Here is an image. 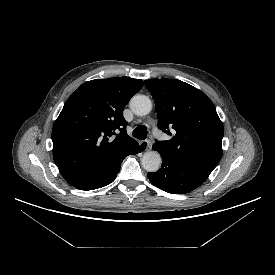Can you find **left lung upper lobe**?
<instances>
[{
  "mask_svg": "<svg viewBox=\"0 0 275 275\" xmlns=\"http://www.w3.org/2000/svg\"><path fill=\"white\" fill-rule=\"evenodd\" d=\"M155 99L158 127L173 137L153 149L210 175L222 157L223 124L212 101L199 89L176 79L145 80Z\"/></svg>",
  "mask_w": 275,
  "mask_h": 275,
  "instance_id": "5c2ea615",
  "label": "left lung upper lobe"
}]
</instances>
